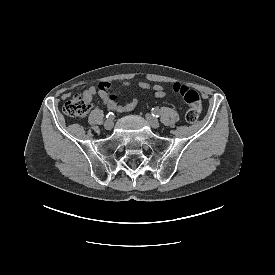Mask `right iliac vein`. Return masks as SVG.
Instances as JSON below:
<instances>
[{
  "mask_svg": "<svg viewBox=\"0 0 275 275\" xmlns=\"http://www.w3.org/2000/svg\"><path fill=\"white\" fill-rule=\"evenodd\" d=\"M114 126V122H113V119H108L107 121H105L104 123V128L106 130H111Z\"/></svg>",
  "mask_w": 275,
  "mask_h": 275,
  "instance_id": "63e3f726",
  "label": "right iliac vein"
}]
</instances>
